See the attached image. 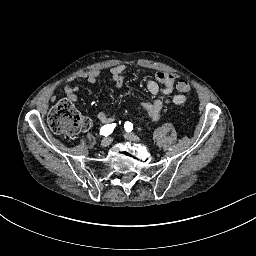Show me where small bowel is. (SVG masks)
<instances>
[{
  "instance_id": "small-bowel-1",
  "label": "small bowel",
  "mask_w": 256,
  "mask_h": 256,
  "mask_svg": "<svg viewBox=\"0 0 256 256\" xmlns=\"http://www.w3.org/2000/svg\"><path fill=\"white\" fill-rule=\"evenodd\" d=\"M101 71L98 69L86 72L81 75L79 78L87 81L88 83L94 84L97 82ZM124 74H125V66L118 65L113 67L110 70V75L112 80L116 84L117 87L122 88L124 85ZM183 81L177 82V77L175 74L159 71L155 74L154 79H150L147 81V89L152 95H161L162 99H156L152 102L142 103L139 108L142 112H144L152 121H157L162 112V108L164 104L168 105H181L186 102L187 97L182 94L185 91L181 88V83ZM78 86L74 84L73 81H70L64 86L65 97L69 102L77 101V91ZM174 90L179 91V94H173ZM56 97H52V101H55ZM97 119L103 124H109L113 122V118L109 116L105 112H99L97 114Z\"/></svg>"
}]
</instances>
